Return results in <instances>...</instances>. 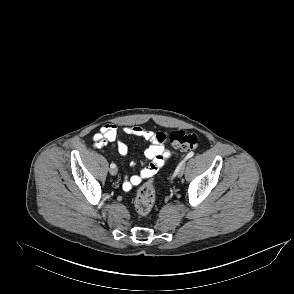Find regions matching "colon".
Instances as JSON below:
<instances>
[{
    "mask_svg": "<svg viewBox=\"0 0 294 294\" xmlns=\"http://www.w3.org/2000/svg\"><path fill=\"white\" fill-rule=\"evenodd\" d=\"M159 140L165 142L168 140L171 145L180 150H192L198 147L199 137L195 133H188L183 130L171 131L168 134L158 132ZM155 203V189L152 183L148 182L142 185L135 197V209L139 217H147Z\"/></svg>",
    "mask_w": 294,
    "mask_h": 294,
    "instance_id": "1",
    "label": "colon"
}]
</instances>
